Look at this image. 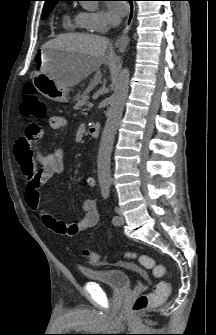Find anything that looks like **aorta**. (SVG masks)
Instances as JSON below:
<instances>
[{
  "label": "aorta",
  "instance_id": "aorta-1",
  "mask_svg": "<svg viewBox=\"0 0 216 335\" xmlns=\"http://www.w3.org/2000/svg\"><path fill=\"white\" fill-rule=\"evenodd\" d=\"M130 72L128 68L122 69L113 87L110 97V108L98 152V181L101 187L110 186V162L113 141L122 118L124 105L129 91Z\"/></svg>",
  "mask_w": 216,
  "mask_h": 335
}]
</instances>
